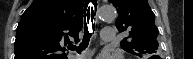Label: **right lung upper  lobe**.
Returning a JSON list of instances; mask_svg holds the SVG:
<instances>
[{"label": "right lung upper lobe", "instance_id": "1", "mask_svg": "<svg viewBox=\"0 0 193 59\" xmlns=\"http://www.w3.org/2000/svg\"><path fill=\"white\" fill-rule=\"evenodd\" d=\"M84 0H34L17 27L14 59H67L65 46L78 40Z\"/></svg>", "mask_w": 193, "mask_h": 59}]
</instances>
